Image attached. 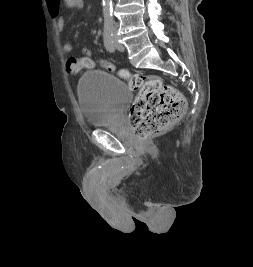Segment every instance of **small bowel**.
<instances>
[{"mask_svg":"<svg viewBox=\"0 0 253 267\" xmlns=\"http://www.w3.org/2000/svg\"><path fill=\"white\" fill-rule=\"evenodd\" d=\"M46 2L50 14L56 19L57 29L60 34L65 29V19L61 13V3L69 9H82L84 7V0H46ZM62 50L65 53H70L73 51V45L65 42L62 45Z\"/></svg>","mask_w":253,"mask_h":267,"instance_id":"small-bowel-1","label":"small bowel"}]
</instances>
